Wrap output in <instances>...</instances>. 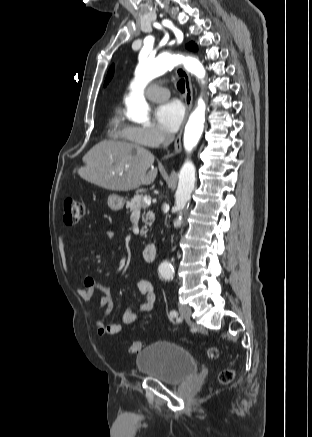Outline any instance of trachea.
<instances>
[{"mask_svg":"<svg viewBox=\"0 0 312 437\" xmlns=\"http://www.w3.org/2000/svg\"><path fill=\"white\" fill-rule=\"evenodd\" d=\"M177 88L181 92L185 91L184 79L179 80V82L177 83Z\"/></svg>","mask_w":312,"mask_h":437,"instance_id":"3493384b","label":"trachea"}]
</instances>
